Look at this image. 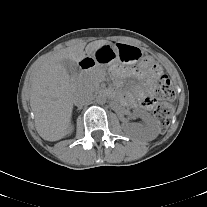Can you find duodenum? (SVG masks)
I'll list each match as a JSON object with an SVG mask.
<instances>
[{
	"instance_id": "obj_1",
	"label": "duodenum",
	"mask_w": 207,
	"mask_h": 207,
	"mask_svg": "<svg viewBox=\"0 0 207 207\" xmlns=\"http://www.w3.org/2000/svg\"><path fill=\"white\" fill-rule=\"evenodd\" d=\"M93 66H94V62L90 59H85V60L81 61L77 71L73 75V79H76L83 71H85Z\"/></svg>"
}]
</instances>
